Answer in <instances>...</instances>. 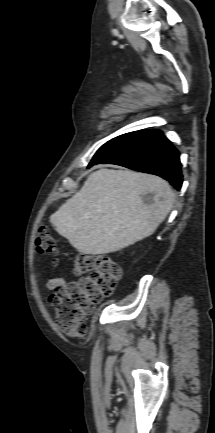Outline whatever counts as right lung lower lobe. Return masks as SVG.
I'll return each mask as SVG.
<instances>
[{"instance_id": "obj_1", "label": "right lung lower lobe", "mask_w": 215, "mask_h": 433, "mask_svg": "<svg viewBox=\"0 0 215 433\" xmlns=\"http://www.w3.org/2000/svg\"><path fill=\"white\" fill-rule=\"evenodd\" d=\"M100 163L158 175L177 190L183 183L179 151L160 130H142L122 150Z\"/></svg>"}]
</instances>
